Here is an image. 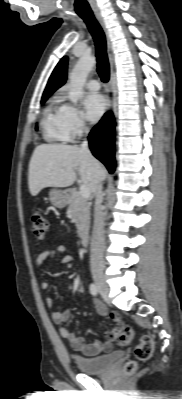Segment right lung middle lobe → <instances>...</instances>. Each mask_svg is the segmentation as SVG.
<instances>
[{"instance_id":"1","label":"right lung middle lobe","mask_w":182,"mask_h":399,"mask_svg":"<svg viewBox=\"0 0 182 399\" xmlns=\"http://www.w3.org/2000/svg\"><path fill=\"white\" fill-rule=\"evenodd\" d=\"M46 100H47V98H42L41 103H44Z\"/></svg>"}]
</instances>
